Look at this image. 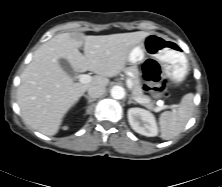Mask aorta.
I'll return each instance as SVG.
<instances>
[{
	"label": "aorta",
	"instance_id": "1",
	"mask_svg": "<svg viewBox=\"0 0 222 187\" xmlns=\"http://www.w3.org/2000/svg\"><path fill=\"white\" fill-rule=\"evenodd\" d=\"M110 93L112 98L117 100H121L125 97V90L122 86H114Z\"/></svg>",
	"mask_w": 222,
	"mask_h": 187
}]
</instances>
